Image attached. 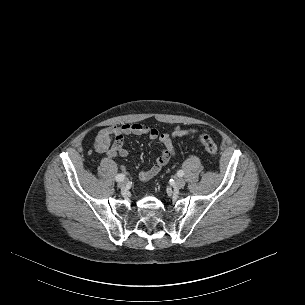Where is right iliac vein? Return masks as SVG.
Returning a JSON list of instances; mask_svg holds the SVG:
<instances>
[{"label": "right iliac vein", "instance_id": "63e3f726", "mask_svg": "<svg viewBox=\"0 0 305 305\" xmlns=\"http://www.w3.org/2000/svg\"><path fill=\"white\" fill-rule=\"evenodd\" d=\"M127 186V181L123 180L121 182L118 183V187L121 189H124Z\"/></svg>", "mask_w": 305, "mask_h": 305}]
</instances>
